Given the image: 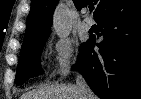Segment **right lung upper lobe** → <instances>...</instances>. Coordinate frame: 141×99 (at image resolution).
<instances>
[{
    "label": "right lung upper lobe",
    "instance_id": "cb5924a9",
    "mask_svg": "<svg viewBox=\"0 0 141 99\" xmlns=\"http://www.w3.org/2000/svg\"><path fill=\"white\" fill-rule=\"evenodd\" d=\"M73 1L78 10L86 7L89 3V0ZM57 3L58 0H32L23 45L49 36L52 25V16ZM90 3H92V0H90ZM94 3L97 4V8L94 12V17L96 19L108 8L111 0H94Z\"/></svg>",
    "mask_w": 141,
    "mask_h": 99
}]
</instances>
